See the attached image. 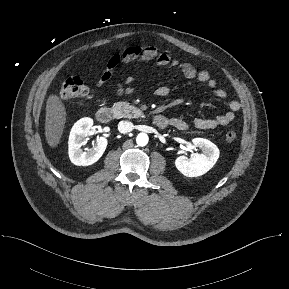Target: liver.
Segmentation results:
<instances>
[{
  "mask_svg": "<svg viewBox=\"0 0 289 289\" xmlns=\"http://www.w3.org/2000/svg\"><path fill=\"white\" fill-rule=\"evenodd\" d=\"M66 116V108L61 99L55 94L50 95L46 102L45 137L51 148H56L60 143Z\"/></svg>",
  "mask_w": 289,
  "mask_h": 289,
  "instance_id": "liver-1",
  "label": "liver"
}]
</instances>
